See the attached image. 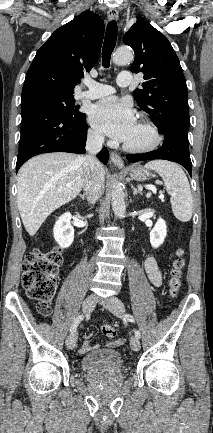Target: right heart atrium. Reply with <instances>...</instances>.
Here are the masks:
<instances>
[{
    "label": "right heart atrium",
    "mask_w": 213,
    "mask_h": 433,
    "mask_svg": "<svg viewBox=\"0 0 213 433\" xmlns=\"http://www.w3.org/2000/svg\"><path fill=\"white\" fill-rule=\"evenodd\" d=\"M89 137L91 140L97 141V142H100L103 139L102 135L98 131L93 130V129L89 130Z\"/></svg>",
    "instance_id": "obj_1"
}]
</instances>
